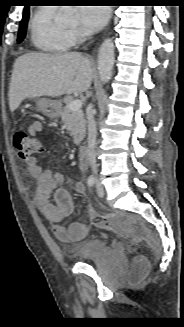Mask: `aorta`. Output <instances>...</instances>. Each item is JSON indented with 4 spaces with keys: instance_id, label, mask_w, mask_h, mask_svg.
<instances>
[{
    "instance_id": "762f6f07",
    "label": "aorta",
    "mask_w": 184,
    "mask_h": 327,
    "mask_svg": "<svg viewBox=\"0 0 184 327\" xmlns=\"http://www.w3.org/2000/svg\"><path fill=\"white\" fill-rule=\"evenodd\" d=\"M114 62V43L108 38L103 41L98 51V70L102 83L111 79Z\"/></svg>"
}]
</instances>
